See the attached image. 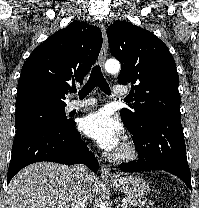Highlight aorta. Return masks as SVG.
Wrapping results in <instances>:
<instances>
[{
	"label": "aorta",
	"instance_id": "aorta-1",
	"mask_svg": "<svg viewBox=\"0 0 199 208\" xmlns=\"http://www.w3.org/2000/svg\"><path fill=\"white\" fill-rule=\"evenodd\" d=\"M105 69L108 73H118L120 71V63L118 60L111 59L105 63ZM103 205H99L98 207L102 208Z\"/></svg>",
	"mask_w": 199,
	"mask_h": 208
}]
</instances>
